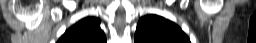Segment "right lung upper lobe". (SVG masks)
Returning <instances> with one entry per match:
<instances>
[{
	"label": "right lung upper lobe",
	"instance_id": "obj_1",
	"mask_svg": "<svg viewBox=\"0 0 256 43\" xmlns=\"http://www.w3.org/2000/svg\"><path fill=\"white\" fill-rule=\"evenodd\" d=\"M58 43H106V37L100 28V21L87 17L69 28Z\"/></svg>",
	"mask_w": 256,
	"mask_h": 43
}]
</instances>
